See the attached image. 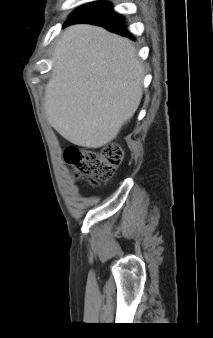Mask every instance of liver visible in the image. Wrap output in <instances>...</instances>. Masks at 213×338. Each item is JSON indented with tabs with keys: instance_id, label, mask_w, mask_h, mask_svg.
Listing matches in <instances>:
<instances>
[{
	"instance_id": "6515ba94",
	"label": "liver",
	"mask_w": 213,
	"mask_h": 338,
	"mask_svg": "<svg viewBox=\"0 0 213 338\" xmlns=\"http://www.w3.org/2000/svg\"><path fill=\"white\" fill-rule=\"evenodd\" d=\"M45 87L50 125L69 142L100 148L115 139L142 99L144 69L127 38L93 25L68 27Z\"/></svg>"
}]
</instances>
